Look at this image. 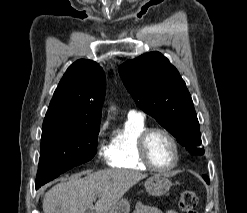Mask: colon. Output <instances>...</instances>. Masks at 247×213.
<instances>
[{
    "instance_id": "obj_1",
    "label": "colon",
    "mask_w": 247,
    "mask_h": 213,
    "mask_svg": "<svg viewBox=\"0 0 247 213\" xmlns=\"http://www.w3.org/2000/svg\"><path fill=\"white\" fill-rule=\"evenodd\" d=\"M178 207L184 213H196L197 196L192 190H182L178 196Z\"/></svg>"
}]
</instances>
